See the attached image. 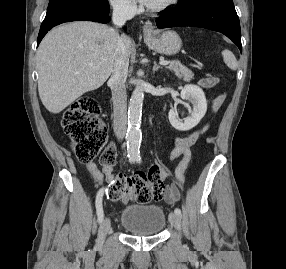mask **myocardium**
I'll return each instance as SVG.
<instances>
[{
	"instance_id": "f54148a6",
	"label": "myocardium",
	"mask_w": 286,
	"mask_h": 269,
	"mask_svg": "<svg viewBox=\"0 0 286 269\" xmlns=\"http://www.w3.org/2000/svg\"><path fill=\"white\" fill-rule=\"evenodd\" d=\"M177 2L178 0H165L158 5L148 6L147 10L152 13L163 12L174 6Z\"/></svg>"
}]
</instances>
